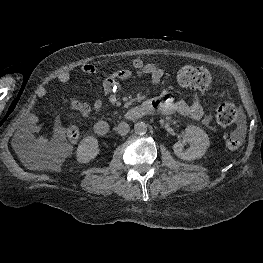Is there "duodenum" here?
<instances>
[{
    "label": "duodenum",
    "instance_id": "410a0bca",
    "mask_svg": "<svg viewBox=\"0 0 263 263\" xmlns=\"http://www.w3.org/2000/svg\"><path fill=\"white\" fill-rule=\"evenodd\" d=\"M151 112V108L148 104L142 103L131 108L126 114L125 118L127 120H137L142 118L144 115ZM94 131L98 135H106L110 131V124L105 120H99L94 125Z\"/></svg>",
    "mask_w": 263,
    "mask_h": 263
}]
</instances>
